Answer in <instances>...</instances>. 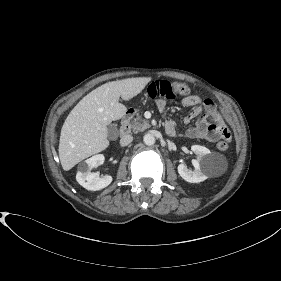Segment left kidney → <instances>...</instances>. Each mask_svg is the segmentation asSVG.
I'll list each match as a JSON object with an SVG mask.
<instances>
[{"label":"left kidney","instance_id":"5707ae66","mask_svg":"<svg viewBox=\"0 0 281 281\" xmlns=\"http://www.w3.org/2000/svg\"><path fill=\"white\" fill-rule=\"evenodd\" d=\"M191 150L197 155L192 160L194 170L187 168L185 164L178 166L179 175L189 183H199L207 179L211 168L210 150L204 146L192 145Z\"/></svg>","mask_w":281,"mask_h":281}]
</instances>
